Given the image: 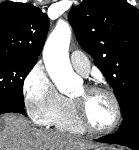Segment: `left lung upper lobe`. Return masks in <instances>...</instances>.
<instances>
[{"mask_svg": "<svg viewBox=\"0 0 139 150\" xmlns=\"http://www.w3.org/2000/svg\"><path fill=\"white\" fill-rule=\"evenodd\" d=\"M68 19L124 112L139 98V10L126 0H83Z\"/></svg>", "mask_w": 139, "mask_h": 150, "instance_id": "obj_1", "label": "left lung upper lobe"}]
</instances>
